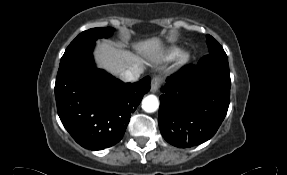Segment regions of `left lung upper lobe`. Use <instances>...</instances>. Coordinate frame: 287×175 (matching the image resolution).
<instances>
[{"label":"left lung upper lobe","instance_id":"5c2ea615","mask_svg":"<svg viewBox=\"0 0 287 175\" xmlns=\"http://www.w3.org/2000/svg\"><path fill=\"white\" fill-rule=\"evenodd\" d=\"M209 54L200 59L198 64L206 66H218L229 70L228 58L222 46L210 35H207Z\"/></svg>","mask_w":287,"mask_h":175}]
</instances>
